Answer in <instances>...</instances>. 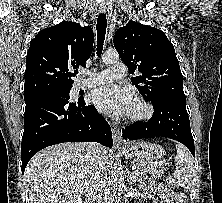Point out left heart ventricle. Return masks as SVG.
<instances>
[{"mask_svg":"<svg viewBox=\"0 0 222 203\" xmlns=\"http://www.w3.org/2000/svg\"><path fill=\"white\" fill-rule=\"evenodd\" d=\"M139 110H140V108L137 105H135L134 103H132L128 114L137 113V112H139Z\"/></svg>","mask_w":222,"mask_h":203,"instance_id":"b2bd125f","label":"left heart ventricle"}]
</instances>
